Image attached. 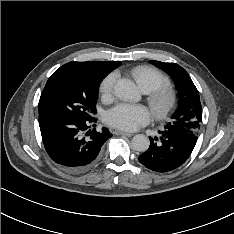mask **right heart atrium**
I'll use <instances>...</instances> for the list:
<instances>
[{"label": "right heart atrium", "mask_w": 234, "mask_h": 234, "mask_svg": "<svg viewBox=\"0 0 234 234\" xmlns=\"http://www.w3.org/2000/svg\"><path fill=\"white\" fill-rule=\"evenodd\" d=\"M115 81H116V74L114 73L108 74L101 81L99 89H100V93L102 94L104 98H107L112 94Z\"/></svg>", "instance_id": "d8ad5b80"}]
</instances>
